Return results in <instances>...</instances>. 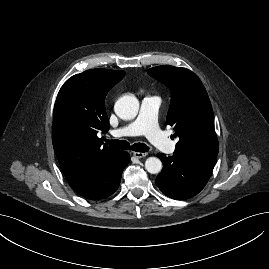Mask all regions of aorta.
I'll list each match as a JSON object with an SVG mask.
<instances>
[{"label": "aorta", "mask_w": 269, "mask_h": 269, "mask_svg": "<svg viewBox=\"0 0 269 269\" xmlns=\"http://www.w3.org/2000/svg\"><path fill=\"white\" fill-rule=\"evenodd\" d=\"M114 110L119 118L131 120L138 114L139 101L134 95H125L118 99ZM145 168L149 173L157 174L162 169V162L157 157H149L145 161Z\"/></svg>", "instance_id": "aorta-1"}]
</instances>
